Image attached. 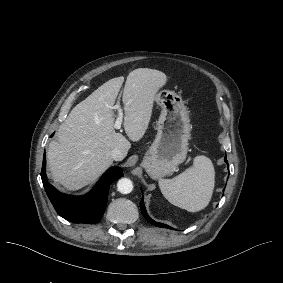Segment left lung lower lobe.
Returning a JSON list of instances; mask_svg holds the SVG:
<instances>
[{"instance_id": "1", "label": "left lung lower lobe", "mask_w": 283, "mask_h": 283, "mask_svg": "<svg viewBox=\"0 0 283 283\" xmlns=\"http://www.w3.org/2000/svg\"><path fill=\"white\" fill-rule=\"evenodd\" d=\"M225 162L227 163L228 165V162L226 160V157H225ZM228 168H229V165H228ZM140 207H141V213L143 214V216L145 217V219L152 225L156 226V227H161V228H167V229H173L172 227L166 225V224H163V223H160V222H156L154 221L153 219L150 218V216L147 214L146 212V209H145V206H144V203H143V197H142V200L140 202Z\"/></svg>"}]
</instances>
